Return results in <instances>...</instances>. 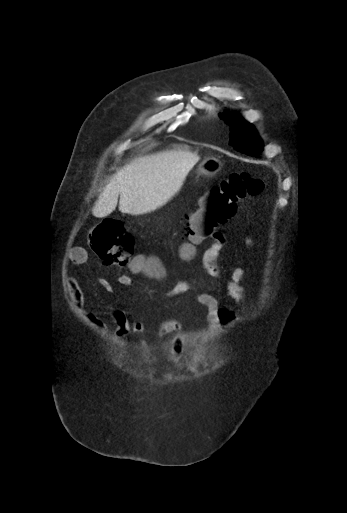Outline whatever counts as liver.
Segmentation results:
<instances>
[{"instance_id":"liver-1","label":"liver","mask_w":347,"mask_h":513,"mask_svg":"<svg viewBox=\"0 0 347 513\" xmlns=\"http://www.w3.org/2000/svg\"><path fill=\"white\" fill-rule=\"evenodd\" d=\"M200 160L187 150H165L140 156L118 170L100 194L92 214H111L119 200L122 213L140 215L164 205L182 186L185 177Z\"/></svg>"}]
</instances>
